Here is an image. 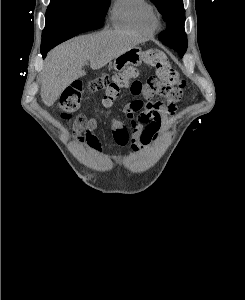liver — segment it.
Returning a JSON list of instances; mask_svg holds the SVG:
<instances>
[{"mask_svg":"<svg viewBox=\"0 0 245 300\" xmlns=\"http://www.w3.org/2000/svg\"><path fill=\"white\" fill-rule=\"evenodd\" d=\"M140 42L133 34L103 30L57 46L48 53L41 73L42 101L52 106L73 81L86 74L83 67L88 61L93 70L102 68Z\"/></svg>","mask_w":245,"mask_h":300,"instance_id":"liver-1","label":"liver"}]
</instances>
